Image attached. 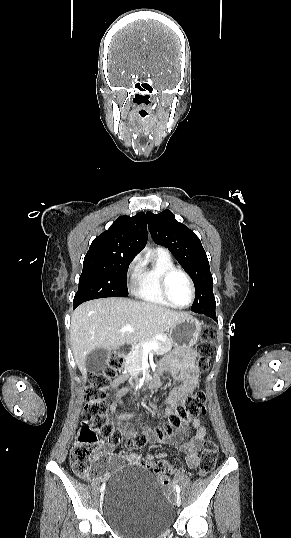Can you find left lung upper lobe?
Here are the masks:
<instances>
[{
  "instance_id": "obj_1",
  "label": "left lung upper lobe",
  "mask_w": 291,
  "mask_h": 538,
  "mask_svg": "<svg viewBox=\"0 0 291 538\" xmlns=\"http://www.w3.org/2000/svg\"><path fill=\"white\" fill-rule=\"evenodd\" d=\"M146 217L154 242L168 248L192 278L195 286L192 307L204 308L216 304L208 258L197 235L177 222L169 210L158 214L147 212Z\"/></svg>"
}]
</instances>
